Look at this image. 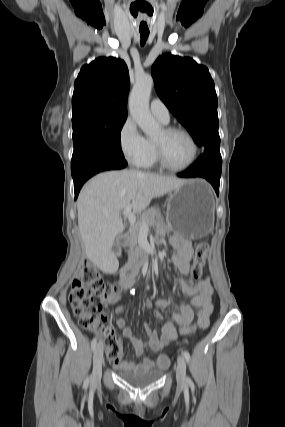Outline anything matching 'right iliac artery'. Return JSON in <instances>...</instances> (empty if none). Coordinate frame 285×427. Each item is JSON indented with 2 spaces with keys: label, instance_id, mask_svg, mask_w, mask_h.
I'll use <instances>...</instances> for the list:
<instances>
[{
  "label": "right iliac artery",
  "instance_id": "obj_1",
  "mask_svg": "<svg viewBox=\"0 0 285 427\" xmlns=\"http://www.w3.org/2000/svg\"><path fill=\"white\" fill-rule=\"evenodd\" d=\"M96 344H97V339H96V338H94V339L92 340V342H91L92 350H94V349H95ZM85 384H86V385H88V379H86Z\"/></svg>",
  "mask_w": 285,
  "mask_h": 427
}]
</instances>
